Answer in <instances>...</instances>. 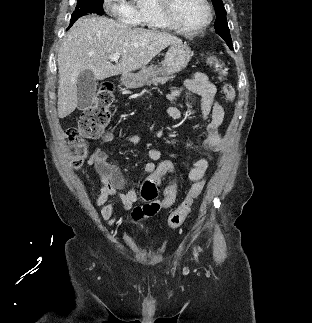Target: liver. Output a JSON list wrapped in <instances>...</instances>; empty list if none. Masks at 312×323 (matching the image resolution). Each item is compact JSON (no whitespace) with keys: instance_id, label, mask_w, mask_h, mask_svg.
<instances>
[{"instance_id":"1","label":"liver","mask_w":312,"mask_h":323,"mask_svg":"<svg viewBox=\"0 0 312 323\" xmlns=\"http://www.w3.org/2000/svg\"><path fill=\"white\" fill-rule=\"evenodd\" d=\"M180 42L172 34L131 28L106 16L79 18L58 50V118H66L76 110L77 78L83 70H91L95 80L129 74L145 68L167 46ZM112 54H120L115 66L109 58Z\"/></svg>"}]
</instances>
